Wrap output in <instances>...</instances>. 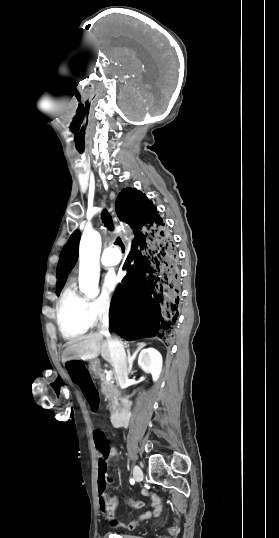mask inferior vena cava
<instances>
[{"label": "inferior vena cava", "instance_id": "obj_1", "mask_svg": "<svg viewBox=\"0 0 279 538\" xmlns=\"http://www.w3.org/2000/svg\"><path fill=\"white\" fill-rule=\"evenodd\" d=\"M100 321H102L103 324H99V328H101V334L105 335V338H107L108 341V347L110 350V356L112 358V366H114L117 380L119 381V385H127L128 382V376H127V364L125 361L126 353L124 351V345L121 341L120 335H110L108 331V310H100L98 314Z\"/></svg>", "mask_w": 279, "mask_h": 538}]
</instances>
